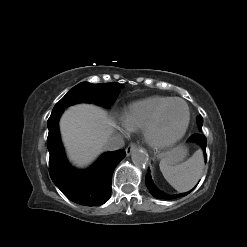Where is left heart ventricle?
I'll return each mask as SVG.
<instances>
[{
	"mask_svg": "<svg viewBox=\"0 0 247 247\" xmlns=\"http://www.w3.org/2000/svg\"><path fill=\"white\" fill-rule=\"evenodd\" d=\"M186 108L181 102L172 103L162 114L157 126V134L161 137H170L178 133L186 120Z\"/></svg>",
	"mask_w": 247,
	"mask_h": 247,
	"instance_id": "obj_1",
	"label": "left heart ventricle"
}]
</instances>
